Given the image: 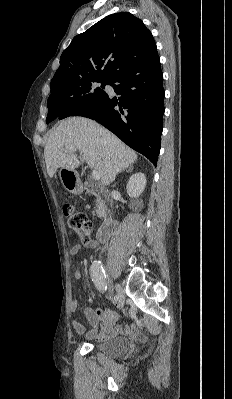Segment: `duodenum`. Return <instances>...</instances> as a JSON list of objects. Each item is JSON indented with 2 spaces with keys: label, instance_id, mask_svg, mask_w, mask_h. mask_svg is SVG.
I'll list each match as a JSON object with an SVG mask.
<instances>
[{
  "label": "duodenum",
  "instance_id": "1",
  "mask_svg": "<svg viewBox=\"0 0 232 399\" xmlns=\"http://www.w3.org/2000/svg\"><path fill=\"white\" fill-rule=\"evenodd\" d=\"M87 193L92 194L93 190L89 188L87 189ZM114 227H115V221L111 218L107 219L97 231L96 234L97 241L100 243L107 242L113 233Z\"/></svg>",
  "mask_w": 232,
  "mask_h": 399
}]
</instances>
